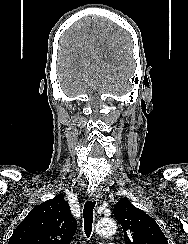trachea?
<instances>
[{
  "mask_svg": "<svg viewBox=\"0 0 188 244\" xmlns=\"http://www.w3.org/2000/svg\"><path fill=\"white\" fill-rule=\"evenodd\" d=\"M95 204H96L95 201H87L83 209L84 231L87 237H89L92 232L93 210Z\"/></svg>",
  "mask_w": 188,
  "mask_h": 244,
  "instance_id": "trachea-1",
  "label": "trachea"
}]
</instances>
